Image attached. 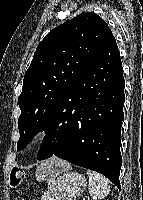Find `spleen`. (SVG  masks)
Masks as SVG:
<instances>
[{"label":"spleen","mask_w":143,"mask_h":200,"mask_svg":"<svg viewBox=\"0 0 143 200\" xmlns=\"http://www.w3.org/2000/svg\"><path fill=\"white\" fill-rule=\"evenodd\" d=\"M89 176V193L93 200H102L110 192V186L106 177L92 170L86 171Z\"/></svg>","instance_id":"1"}]
</instances>
